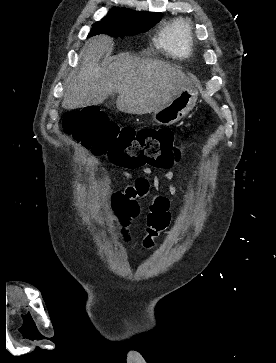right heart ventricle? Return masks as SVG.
Here are the masks:
<instances>
[{"label": "right heart ventricle", "instance_id": "1", "mask_svg": "<svg viewBox=\"0 0 276 363\" xmlns=\"http://www.w3.org/2000/svg\"><path fill=\"white\" fill-rule=\"evenodd\" d=\"M189 32V25L186 21H174L161 30L158 46L174 56L187 57L191 53Z\"/></svg>", "mask_w": 276, "mask_h": 363}]
</instances>
